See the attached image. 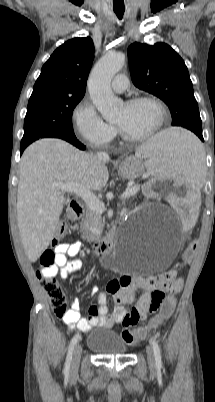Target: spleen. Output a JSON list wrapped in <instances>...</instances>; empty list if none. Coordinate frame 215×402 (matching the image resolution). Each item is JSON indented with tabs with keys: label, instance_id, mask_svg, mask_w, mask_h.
Masks as SVG:
<instances>
[{
	"label": "spleen",
	"instance_id": "1",
	"mask_svg": "<svg viewBox=\"0 0 215 402\" xmlns=\"http://www.w3.org/2000/svg\"><path fill=\"white\" fill-rule=\"evenodd\" d=\"M204 145L190 128H165L144 143L137 155L147 157L145 167L153 175H176L186 182H203Z\"/></svg>",
	"mask_w": 215,
	"mask_h": 402
}]
</instances>
